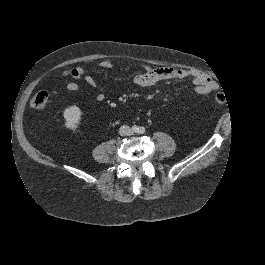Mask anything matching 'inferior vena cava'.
I'll return each mask as SVG.
<instances>
[{
	"label": "inferior vena cava",
	"mask_w": 265,
	"mask_h": 265,
	"mask_svg": "<svg viewBox=\"0 0 265 265\" xmlns=\"http://www.w3.org/2000/svg\"><path fill=\"white\" fill-rule=\"evenodd\" d=\"M119 134L121 136H129L131 135V129L129 126H121L119 129Z\"/></svg>",
	"instance_id": "inferior-vena-cava-1"
}]
</instances>
